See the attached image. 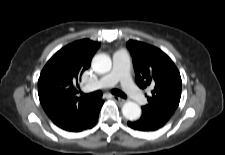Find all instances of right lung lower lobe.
Instances as JSON below:
<instances>
[{"mask_svg":"<svg viewBox=\"0 0 225 155\" xmlns=\"http://www.w3.org/2000/svg\"><path fill=\"white\" fill-rule=\"evenodd\" d=\"M103 103H104V101L101 99L96 100L93 108L86 116L82 125L79 128H77L75 130H71V131L72 132H80V131L92 128L97 122L98 115H99V112H100V109H101Z\"/></svg>","mask_w":225,"mask_h":155,"instance_id":"obj_1","label":"right lung lower lobe"}]
</instances>
